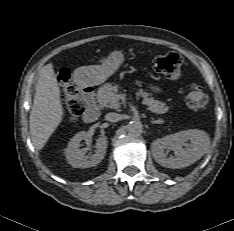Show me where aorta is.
I'll use <instances>...</instances> for the list:
<instances>
[{"mask_svg": "<svg viewBox=\"0 0 234 231\" xmlns=\"http://www.w3.org/2000/svg\"><path fill=\"white\" fill-rule=\"evenodd\" d=\"M142 131H143V125L138 120H133L127 124V132L131 136H138L142 133Z\"/></svg>", "mask_w": 234, "mask_h": 231, "instance_id": "762f6f07", "label": "aorta"}]
</instances>
